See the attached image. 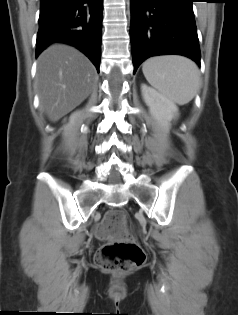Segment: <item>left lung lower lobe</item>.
<instances>
[{
	"label": "left lung lower lobe",
	"instance_id": "obj_1",
	"mask_svg": "<svg viewBox=\"0 0 238 315\" xmlns=\"http://www.w3.org/2000/svg\"><path fill=\"white\" fill-rule=\"evenodd\" d=\"M194 0H131L134 73L151 56L178 54L200 66Z\"/></svg>",
	"mask_w": 238,
	"mask_h": 315
}]
</instances>
